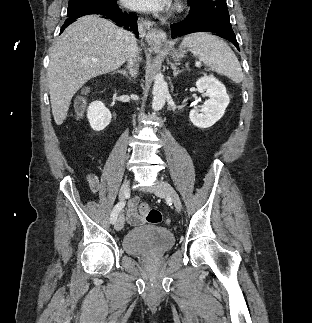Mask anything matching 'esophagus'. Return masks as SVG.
<instances>
[{"label": "esophagus", "instance_id": "esophagus-1", "mask_svg": "<svg viewBox=\"0 0 312 323\" xmlns=\"http://www.w3.org/2000/svg\"><path fill=\"white\" fill-rule=\"evenodd\" d=\"M138 29L141 34H145V40L152 48H161L167 40V35L163 30L153 29L152 22L142 17L138 19Z\"/></svg>", "mask_w": 312, "mask_h": 323}]
</instances>
